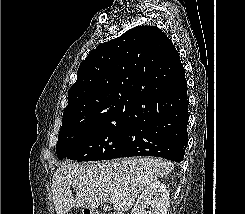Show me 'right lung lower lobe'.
I'll return each instance as SVG.
<instances>
[{"mask_svg":"<svg viewBox=\"0 0 245 214\" xmlns=\"http://www.w3.org/2000/svg\"><path fill=\"white\" fill-rule=\"evenodd\" d=\"M168 87L149 98L133 117L120 157L156 156L175 162L184 158L188 142V96L178 52Z\"/></svg>","mask_w":245,"mask_h":214,"instance_id":"right-lung-lower-lobe-1","label":"right lung lower lobe"}]
</instances>
